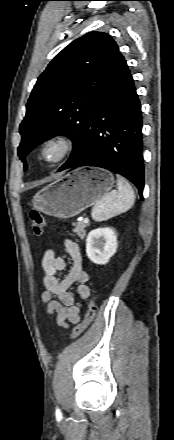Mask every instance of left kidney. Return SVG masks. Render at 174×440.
<instances>
[{
  "mask_svg": "<svg viewBox=\"0 0 174 440\" xmlns=\"http://www.w3.org/2000/svg\"><path fill=\"white\" fill-rule=\"evenodd\" d=\"M117 235L112 228L92 230L86 239V254L95 264L104 265L117 250Z\"/></svg>",
  "mask_w": 174,
  "mask_h": 440,
  "instance_id": "left-kidney-1",
  "label": "left kidney"
}]
</instances>
